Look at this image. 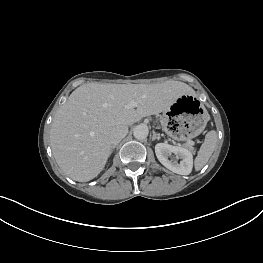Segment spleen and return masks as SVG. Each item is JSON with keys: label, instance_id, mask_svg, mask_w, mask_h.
I'll use <instances>...</instances> for the list:
<instances>
[{"label": "spleen", "instance_id": "spleen-1", "mask_svg": "<svg viewBox=\"0 0 263 263\" xmlns=\"http://www.w3.org/2000/svg\"><path fill=\"white\" fill-rule=\"evenodd\" d=\"M217 144V134L214 130L209 131L205 136V141L203 142L197 157L195 158V169L200 170L210 159L213 154Z\"/></svg>", "mask_w": 263, "mask_h": 263}]
</instances>
